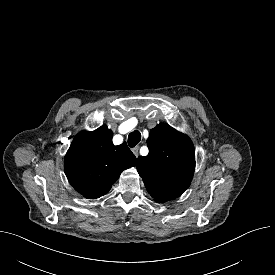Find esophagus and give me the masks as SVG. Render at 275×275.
Here are the masks:
<instances>
[{
  "label": "esophagus",
  "instance_id": "obj_1",
  "mask_svg": "<svg viewBox=\"0 0 275 275\" xmlns=\"http://www.w3.org/2000/svg\"><path fill=\"white\" fill-rule=\"evenodd\" d=\"M132 152L136 157H138V155H139V146H136V147L132 148Z\"/></svg>",
  "mask_w": 275,
  "mask_h": 275
}]
</instances>
